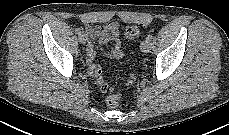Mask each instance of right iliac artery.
I'll list each match as a JSON object with an SVG mask.
<instances>
[{
  "mask_svg": "<svg viewBox=\"0 0 229 135\" xmlns=\"http://www.w3.org/2000/svg\"><path fill=\"white\" fill-rule=\"evenodd\" d=\"M78 34H81V30L80 29L78 30Z\"/></svg>",
  "mask_w": 229,
  "mask_h": 135,
  "instance_id": "1",
  "label": "right iliac artery"
}]
</instances>
